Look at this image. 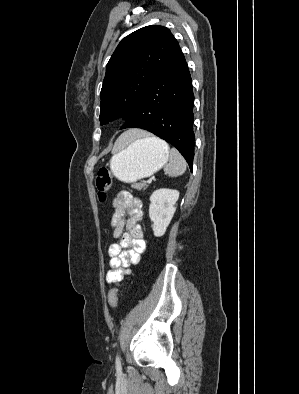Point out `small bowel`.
<instances>
[{
    "instance_id": "obj_1",
    "label": "small bowel",
    "mask_w": 299,
    "mask_h": 394,
    "mask_svg": "<svg viewBox=\"0 0 299 394\" xmlns=\"http://www.w3.org/2000/svg\"><path fill=\"white\" fill-rule=\"evenodd\" d=\"M112 236L120 239L108 248L110 270L106 280L119 284L129 274V267L136 264L146 249V241L141 225L142 202L127 191L118 192L112 200Z\"/></svg>"
}]
</instances>
